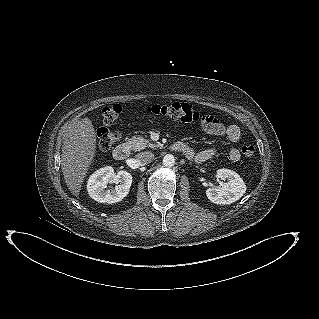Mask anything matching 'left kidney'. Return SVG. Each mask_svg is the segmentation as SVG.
Returning a JSON list of instances; mask_svg holds the SVG:
<instances>
[{"mask_svg": "<svg viewBox=\"0 0 319 319\" xmlns=\"http://www.w3.org/2000/svg\"><path fill=\"white\" fill-rule=\"evenodd\" d=\"M216 176L222 180L219 187L206 190V195L211 202L220 205L231 204L245 194L246 185L236 172L223 168L217 170Z\"/></svg>", "mask_w": 319, "mask_h": 319, "instance_id": "1", "label": "left kidney"}]
</instances>
